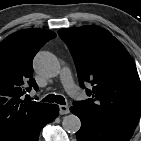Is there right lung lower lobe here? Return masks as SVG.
I'll return each instance as SVG.
<instances>
[{
  "label": "right lung lower lobe",
  "instance_id": "98d812e1",
  "mask_svg": "<svg viewBox=\"0 0 141 141\" xmlns=\"http://www.w3.org/2000/svg\"><path fill=\"white\" fill-rule=\"evenodd\" d=\"M59 107L55 104H49L47 110L37 118L21 135L12 141H38L41 129L48 123L55 120L58 116Z\"/></svg>",
  "mask_w": 141,
  "mask_h": 141
}]
</instances>
